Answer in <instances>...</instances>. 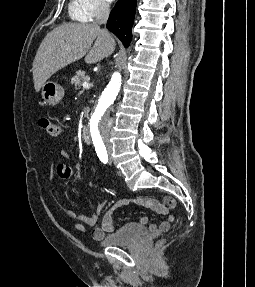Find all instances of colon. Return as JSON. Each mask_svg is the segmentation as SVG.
Instances as JSON below:
<instances>
[{"instance_id": "colon-1", "label": "colon", "mask_w": 255, "mask_h": 287, "mask_svg": "<svg viewBox=\"0 0 255 287\" xmlns=\"http://www.w3.org/2000/svg\"><path fill=\"white\" fill-rule=\"evenodd\" d=\"M38 124L52 137H58L60 135V126L52 121L48 116L41 115L38 119Z\"/></svg>"}]
</instances>
